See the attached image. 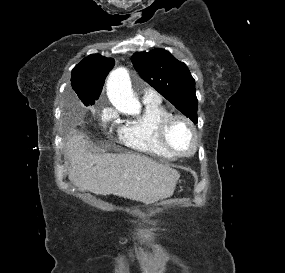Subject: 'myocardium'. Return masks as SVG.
<instances>
[{
  "mask_svg": "<svg viewBox=\"0 0 285 273\" xmlns=\"http://www.w3.org/2000/svg\"><path fill=\"white\" fill-rule=\"evenodd\" d=\"M179 121L183 122L188 127V130L192 136V145L191 148L187 151L175 148L169 139V132L171 127ZM159 135L163 145L176 156H191L197 151L199 147V135L195 124L188 117L181 114H171L166 117L160 125Z\"/></svg>",
  "mask_w": 285,
  "mask_h": 273,
  "instance_id": "1",
  "label": "myocardium"
}]
</instances>
